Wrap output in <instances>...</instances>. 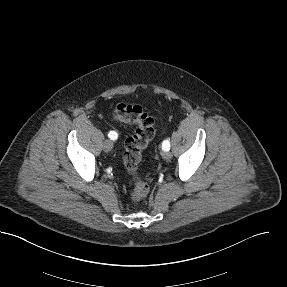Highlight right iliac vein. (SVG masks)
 Listing matches in <instances>:
<instances>
[{"mask_svg": "<svg viewBox=\"0 0 287 287\" xmlns=\"http://www.w3.org/2000/svg\"><path fill=\"white\" fill-rule=\"evenodd\" d=\"M112 148H113V143L110 140H105V142L103 144L104 151L109 152V151H111Z\"/></svg>", "mask_w": 287, "mask_h": 287, "instance_id": "63e3f726", "label": "right iliac vein"}]
</instances>
